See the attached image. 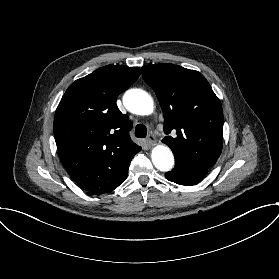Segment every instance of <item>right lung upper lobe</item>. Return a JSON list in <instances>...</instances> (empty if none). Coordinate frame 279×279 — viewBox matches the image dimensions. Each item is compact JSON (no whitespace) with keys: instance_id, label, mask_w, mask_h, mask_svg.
<instances>
[{"instance_id":"right-lung-upper-lobe-1","label":"right lung upper lobe","mask_w":279,"mask_h":279,"mask_svg":"<svg viewBox=\"0 0 279 279\" xmlns=\"http://www.w3.org/2000/svg\"><path fill=\"white\" fill-rule=\"evenodd\" d=\"M140 69L101 67L73 82L55 113L54 137L60 159L72 179L91 194L108 193L126 179L141 147L129 137L132 123L116 105L119 94Z\"/></svg>"}]
</instances>
